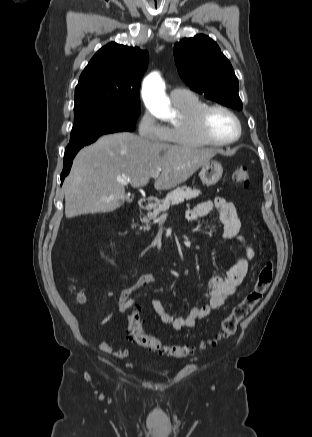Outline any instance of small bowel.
Segmentation results:
<instances>
[{
  "mask_svg": "<svg viewBox=\"0 0 312 437\" xmlns=\"http://www.w3.org/2000/svg\"><path fill=\"white\" fill-rule=\"evenodd\" d=\"M213 209H217L219 212L224 237L226 239L242 240L240 236L241 221L237 214L236 207L234 203L223 197H216L212 200L198 203L186 211V219L188 221H196L199 218L207 216ZM253 256V250L245 247L244 255L235 259L233 265L224 276H215L209 279L207 283L209 291L206 295L207 304L193 306L189 314L185 317H174L166 311L164 304L160 300H153L152 308L159 320L163 324L171 325L174 330L195 327L198 320L206 318L212 310L221 307L226 299L237 290L248 272V261ZM154 282V275L145 274L131 287L123 290L119 297V312L124 314L133 308L135 301L131 295L136 291L151 286ZM80 300H83L82 296ZM98 348L102 352L118 358H125L129 354L128 349H117L111 341L100 342Z\"/></svg>",
  "mask_w": 312,
  "mask_h": 437,
  "instance_id": "c3829d8e",
  "label": "small bowel"
}]
</instances>
